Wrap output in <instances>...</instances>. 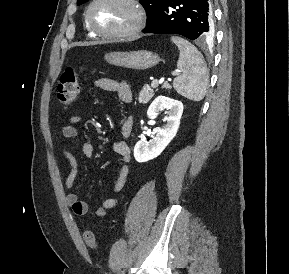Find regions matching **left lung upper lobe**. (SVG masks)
I'll return each instance as SVG.
<instances>
[{
  "mask_svg": "<svg viewBox=\"0 0 289 274\" xmlns=\"http://www.w3.org/2000/svg\"><path fill=\"white\" fill-rule=\"evenodd\" d=\"M88 0H78L77 5H81ZM165 0H140L147 14V24L152 22L160 13Z\"/></svg>",
  "mask_w": 289,
  "mask_h": 274,
  "instance_id": "obj_1",
  "label": "left lung upper lobe"
}]
</instances>
